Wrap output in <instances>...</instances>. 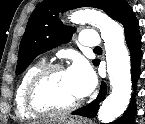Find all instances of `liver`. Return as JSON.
<instances>
[{
    "mask_svg": "<svg viewBox=\"0 0 145 124\" xmlns=\"http://www.w3.org/2000/svg\"><path fill=\"white\" fill-rule=\"evenodd\" d=\"M61 119H64V118L55 119V120H53V121H47L46 123H47V124L56 123L58 120H61ZM35 124H36V123H35Z\"/></svg>",
    "mask_w": 145,
    "mask_h": 124,
    "instance_id": "6515ba94",
    "label": "liver"
}]
</instances>
